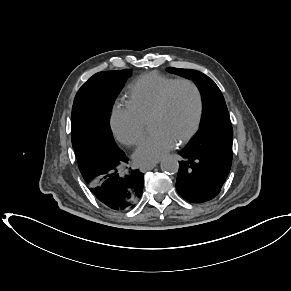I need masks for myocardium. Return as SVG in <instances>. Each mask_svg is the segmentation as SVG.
Masks as SVG:
<instances>
[{"label": "myocardium", "instance_id": "myocardium-1", "mask_svg": "<svg viewBox=\"0 0 291 291\" xmlns=\"http://www.w3.org/2000/svg\"><path fill=\"white\" fill-rule=\"evenodd\" d=\"M180 85H186V86L190 87L193 90L195 98H196L195 121H194L192 127L185 134H183L181 137H179V139L177 140V142L179 144H182V143L189 141L197 133V131L200 128L202 118H203V112H204L203 96H202V93H201L198 85L194 81L187 79V78H181V79H177L173 83H171L162 93L161 98L159 100V103L157 104V106L152 111V113L149 117V121L152 118H154L156 116H160L167 111V109L169 107L171 94L174 91V89Z\"/></svg>", "mask_w": 291, "mask_h": 291}]
</instances>
